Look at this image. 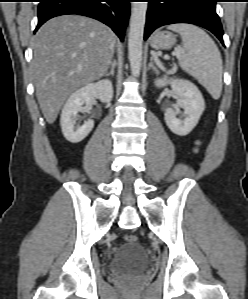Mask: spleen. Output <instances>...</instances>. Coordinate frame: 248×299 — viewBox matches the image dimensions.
Here are the masks:
<instances>
[{"label": "spleen", "instance_id": "obj_1", "mask_svg": "<svg viewBox=\"0 0 248 299\" xmlns=\"http://www.w3.org/2000/svg\"><path fill=\"white\" fill-rule=\"evenodd\" d=\"M181 35L179 65L206 88L214 99L222 92V58L213 39L201 28L186 23L167 27Z\"/></svg>", "mask_w": 248, "mask_h": 299}]
</instances>
